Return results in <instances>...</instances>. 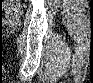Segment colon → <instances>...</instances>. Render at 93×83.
Segmentation results:
<instances>
[{"instance_id": "5ec220e1", "label": "colon", "mask_w": 93, "mask_h": 83, "mask_svg": "<svg viewBox=\"0 0 93 83\" xmlns=\"http://www.w3.org/2000/svg\"><path fill=\"white\" fill-rule=\"evenodd\" d=\"M24 2H21V1H8V2H5V5H20Z\"/></svg>"}]
</instances>
